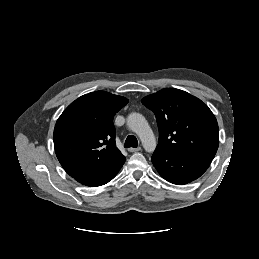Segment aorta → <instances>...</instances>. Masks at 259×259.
<instances>
[{
	"label": "aorta",
	"instance_id": "762f6f07",
	"mask_svg": "<svg viewBox=\"0 0 259 259\" xmlns=\"http://www.w3.org/2000/svg\"><path fill=\"white\" fill-rule=\"evenodd\" d=\"M129 129L140 138L143 148L147 152H153L156 148V139L145 117L140 113H130L127 117Z\"/></svg>",
	"mask_w": 259,
	"mask_h": 259
}]
</instances>
